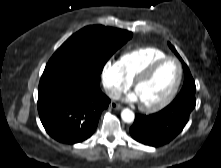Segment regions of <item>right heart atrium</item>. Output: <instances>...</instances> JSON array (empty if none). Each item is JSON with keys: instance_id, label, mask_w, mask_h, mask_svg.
Returning a JSON list of instances; mask_svg holds the SVG:
<instances>
[{"instance_id": "d8ad5b80", "label": "right heart atrium", "mask_w": 221, "mask_h": 168, "mask_svg": "<svg viewBox=\"0 0 221 168\" xmlns=\"http://www.w3.org/2000/svg\"><path fill=\"white\" fill-rule=\"evenodd\" d=\"M101 81L106 94L111 97H117L126 90L130 82L123 75L118 61L108 59L101 70Z\"/></svg>"}]
</instances>
